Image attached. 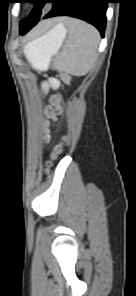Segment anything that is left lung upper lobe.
I'll list each match as a JSON object with an SVG mask.
<instances>
[{
    "mask_svg": "<svg viewBox=\"0 0 136 296\" xmlns=\"http://www.w3.org/2000/svg\"><path fill=\"white\" fill-rule=\"evenodd\" d=\"M52 0H30L27 3H34L35 7L30 13L29 18L24 22L20 24V30L26 27H32L34 26L41 15V9L44 6L45 3H50Z\"/></svg>",
    "mask_w": 136,
    "mask_h": 296,
    "instance_id": "1",
    "label": "left lung upper lobe"
}]
</instances>
